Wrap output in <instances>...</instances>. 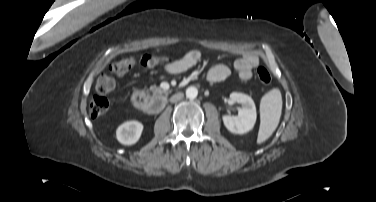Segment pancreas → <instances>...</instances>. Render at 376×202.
Masks as SVG:
<instances>
[{
	"label": "pancreas",
	"mask_w": 376,
	"mask_h": 202,
	"mask_svg": "<svg viewBox=\"0 0 376 202\" xmlns=\"http://www.w3.org/2000/svg\"><path fill=\"white\" fill-rule=\"evenodd\" d=\"M150 91L152 92L154 95H163V94H166V91L159 88V87H156V86H152L150 87L147 92Z\"/></svg>",
	"instance_id": "1"
}]
</instances>
